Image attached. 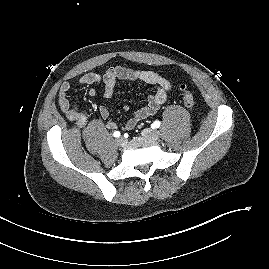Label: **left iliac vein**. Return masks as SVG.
<instances>
[{"mask_svg": "<svg viewBox=\"0 0 269 269\" xmlns=\"http://www.w3.org/2000/svg\"><path fill=\"white\" fill-rule=\"evenodd\" d=\"M142 136L150 140H157L160 136V133L156 129L146 128L142 131Z\"/></svg>", "mask_w": 269, "mask_h": 269, "instance_id": "1", "label": "left iliac vein"}]
</instances>
